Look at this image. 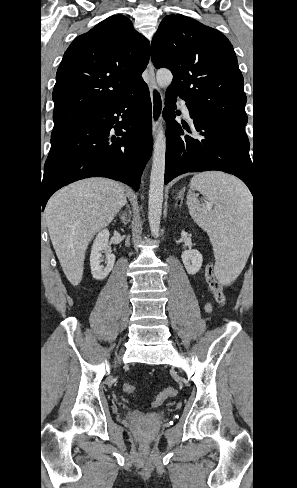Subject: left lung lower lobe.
<instances>
[{"instance_id":"1","label":"left lung lower lobe","mask_w":297,"mask_h":488,"mask_svg":"<svg viewBox=\"0 0 297 488\" xmlns=\"http://www.w3.org/2000/svg\"><path fill=\"white\" fill-rule=\"evenodd\" d=\"M176 97L166 91L163 110L167 122L165 184L187 172L219 170L240 178L253 194L254 171L246 133L197 118L190 112L197 137L184 135L181 125L174 120ZM183 128L191 133L188 126Z\"/></svg>"}]
</instances>
